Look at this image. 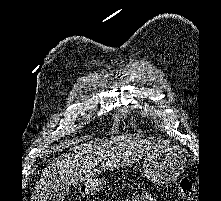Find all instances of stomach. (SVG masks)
Segmentation results:
<instances>
[{
  "label": "stomach",
  "mask_w": 221,
  "mask_h": 201,
  "mask_svg": "<svg viewBox=\"0 0 221 201\" xmlns=\"http://www.w3.org/2000/svg\"><path fill=\"white\" fill-rule=\"evenodd\" d=\"M143 174L149 180L158 184H166L177 180L184 172L185 158L180 151L163 148L145 156ZM106 180L93 178L80 188L83 194H95L104 188Z\"/></svg>",
  "instance_id": "0dacf381"
}]
</instances>
